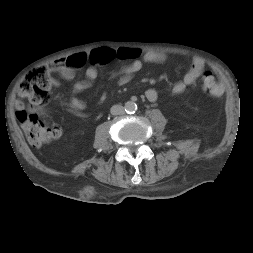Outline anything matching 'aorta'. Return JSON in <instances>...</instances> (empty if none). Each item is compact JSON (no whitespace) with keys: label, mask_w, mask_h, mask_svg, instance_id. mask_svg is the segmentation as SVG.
<instances>
[{"label":"aorta","mask_w":253,"mask_h":253,"mask_svg":"<svg viewBox=\"0 0 253 253\" xmlns=\"http://www.w3.org/2000/svg\"><path fill=\"white\" fill-rule=\"evenodd\" d=\"M124 109L125 112L128 114L135 113L137 110V104L133 101H128L125 103Z\"/></svg>","instance_id":"762f6f07"}]
</instances>
